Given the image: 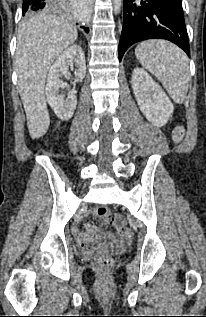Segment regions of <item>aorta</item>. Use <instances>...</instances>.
<instances>
[{"label": "aorta", "instance_id": "obj_1", "mask_svg": "<svg viewBox=\"0 0 206 317\" xmlns=\"http://www.w3.org/2000/svg\"><path fill=\"white\" fill-rule=\"evenodd\" d=\"M123 0H113V7L115 14H118L121 11Z\"/></svg>", "mask_w": 206, "mask_h": 317}]
</instances>
